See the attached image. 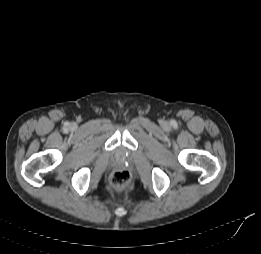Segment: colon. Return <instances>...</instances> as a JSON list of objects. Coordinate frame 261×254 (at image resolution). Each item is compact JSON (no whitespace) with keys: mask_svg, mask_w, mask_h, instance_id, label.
I'll list each match as a JSON object with an SVG mask.
<instances>
[{"mask_svg":"<svg viewBox=\"0 0 261 254\" xmlns=\"http://www.w3.org/2000/svg\"><path fill=\"white\" fill-rule=\"evenodd\" d=\"M131 182V174L127 170H118L110 177V185L116 191L125 190Z\"/></svg>","mask_w":261,"mask_h":254,"instance_id":"obj_1","label":"colon"}]
</instances>
